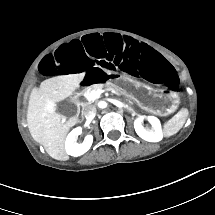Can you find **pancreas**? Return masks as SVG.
<instances>
[{
  "instance_id": "cf45deb5",
  "label": "pancreas",
  "mask_w": 215,
  "mask_h": 215,
  "mask_svg": "<svg viewBox=\"0 0 215 215\" xmlns=\"http://www.w3.org/2000/svg\"><path fill=\"white\" fill-rule=\"evenodd\" d=\"M103 88L109 89L111 91H114L115 94L117 95H125L124 91L120 90L115 84H113L112 82H107L105 84H94L91 85L89 87H86L83 91L82 94H91V91H98L101 90Z\"/></svg>"
}]
</instances>
